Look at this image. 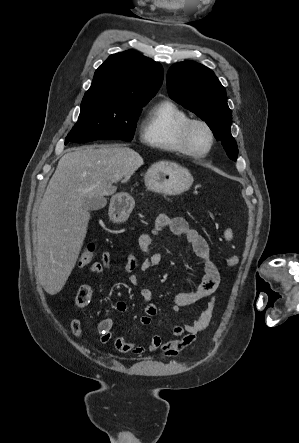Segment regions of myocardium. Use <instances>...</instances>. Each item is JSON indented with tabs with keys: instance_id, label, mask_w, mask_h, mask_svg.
I'll use <instances>...</instances> for the list:
<instances>
[{
	"instance_id": "myocardium-1",
	"label": "myocardium",
	"mask_w": 299,
	"mask_h": 443,
	"mask_svg": "<svg viewBox=\"0 0 299 443\" xmlns=\"http://www.w3.org/2000/svg\"><path fill=\"white\" fill-rule=\"evenodd\" d=\"M195 125H200V126L204 127L209 134V145H208L207 149L204 151H196L191 147L190 134H191L192 128ZM179 143H180V146L185 154H187L191 157H194V158H202L211 152V150L215 144V134H214L212 127L205 120L190 118L182 125V127L180 129Z\"/></svg>"
}]
</instances>
